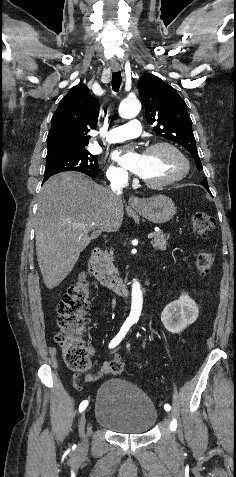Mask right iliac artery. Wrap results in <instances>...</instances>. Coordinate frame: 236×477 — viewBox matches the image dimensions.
<instances>
[{
  "label": "right iliac artery",
  "mask_w": 236,
  "mask_h": 477,
  "mask_svg": "<svg viewBox=\"0 0 236 477\" xmlns=\"http://www.w3.org/2000/svg\"><path fill=\"white\" fill-rule=\"evenodd\" d=\"M132 324H133L132 321H126L123 324L119 333L109 343V348L110 349L116 347L122 341V339L125 337V335L127 334L128 330L130 329ZM88 404H89L88 400L82 401L80 406H79V412L80 413L83 412L86 409V407L88 406Z\"/></svg>",
  "instance_id": "obj_1"
}]
</instances>
